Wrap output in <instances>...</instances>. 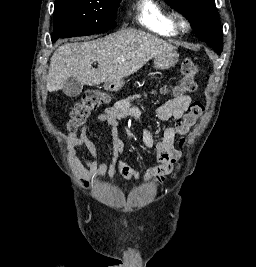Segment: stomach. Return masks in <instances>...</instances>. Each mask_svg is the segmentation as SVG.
Here are the masks:
<instances>
[{"mask_svg": "<svg viewBox=\"0 0 256 267\" xmlns=\"http://www.w3.org/2000/svg\"><path fill=\"white\" fill-rule=\"evenodd\" d=\"M178 60L179 54L173 50V52H164V54L156 56L154 64L158 70H166V68H171L177 64Z\"/></svg>", "mask_w": 256, "mask_h": 267, "instance_id": "1", "label": "stomach"}]
</instances>
